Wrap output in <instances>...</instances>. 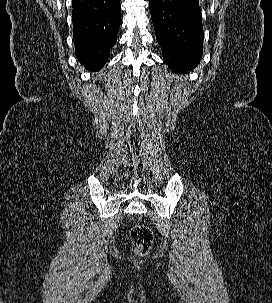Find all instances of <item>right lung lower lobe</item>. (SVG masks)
I'll return each instance as SVG.
<instances>
[{
  "mask_svg": "<svg viewBox=\"0 0 272 303\" xmlns=\"http://www.w3.org/2000/svg\"><path fill=\"white\" fill-rule=\"evenodd\" d=\"M75 53L88 70L99 71L117 41L120 0H72Z\"/></svg>",
  "mask_w": 272,
  "mask_h": 303,
  "instance_id": "1",
  "label": "right lung lower lobe"
}]
</instances>
